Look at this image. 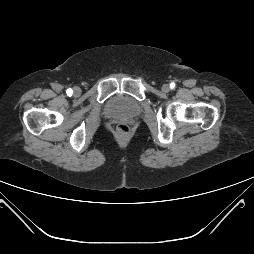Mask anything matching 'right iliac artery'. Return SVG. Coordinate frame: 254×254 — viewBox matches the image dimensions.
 <instances>
[{
  "label": "right iliac artery",
  "instance_id": "82829eb1",
  "mask_svg": "<svg viewBox=\"0 0 254 254\" xmlns=\"http://www.w3.org/2000/svg\"><path fill=\"white\" fill-rule=\"evenodd\" d=\"M72 93H73V90H72L71 88L67 89V94H68L69 96H71Z\"/></svg>",
  "mask_w": 254,
  "mask_h": 254
}]
</instances>
